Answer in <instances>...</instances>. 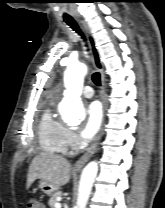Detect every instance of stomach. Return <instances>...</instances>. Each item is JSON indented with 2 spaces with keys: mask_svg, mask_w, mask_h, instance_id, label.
<instances>
[{
  "mask_svg": "<svg viewBox=\"0 0 165 208\" xmlns=\"http://www.w3.org/2000/svg\"><path fill=\"white\" fill-rule=\"evenodd\" d=\"M39 188L41 189V191L43 193H45L48 196L53 195L58 190V188L56 186H54L53 184L48 183L44 180H41L39 182Z\"/></svg>",
  "mask_w": 165,
  "mask_h": 208,
  "instance_id": "stomach-1",
  "label": "stomach"
}]
</instances>
